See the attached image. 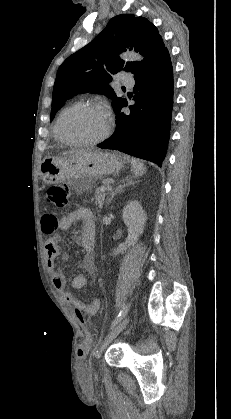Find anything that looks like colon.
<instances>
[{"mask_svg":"<svg viewBox=\"0 0 231 419\" xmlns=\"http://www.w3.org/2000/svg\"><path fill=\"white\" fill-rule=\"evenodd\" d=\"M47 200L52 203L56 208L63 209L68 205L69 202V188L66 184H58L50 186L46 192ZM91 344V338L89 334L85 339L84 344L81 348H86Z\"/></svg>","mask_w":231,"mask_h":419,"instance_id":"colon-1","label":"colon"}]
</instances>
